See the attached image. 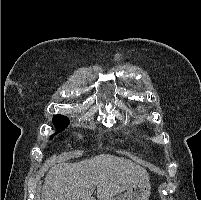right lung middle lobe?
Returning a JSON list of instances; mask_svg holds the SVG:
<instances>
[{"label":"right lung middle lobe","instance_id":"1","mask_svg":"<svg viewBox=\"0 0 201 200\" xmlns=\"http://www.w3.org/2000/svg\"><path fill=\"white\" fill-rule=\"evenodd\" d=\"M52 122L57 128L55 134L63 131L69 125L68 117L63 115H54Z\"/></svg>","mask_w":201,"mask_h":200}]
</instances>
